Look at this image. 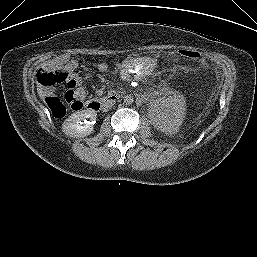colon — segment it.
Segmentation results:
<instances>
[{"label":"colon","instance_id":"5ec220e1","mask_svg":"<svg viewBox=\"0 0 257 257\" xmlns=\"http://www.w3.org/2000/svg\"><path fill=\"white\" fill-rule=\"evenodd\" d=\"M180 55L191 61H198L201 54L197 50L182 49L179 51ZM64 74L59 69H40L37 73L38 83L44 88H50L53 85L64 81ZM85 93L83 89L76 85L70 87L65 94V102L75 110L81 109L84 103ZM44 101L56 118H62L66 114L65 104L51 92L44 95Z\"/></svg>","mask_w":257,"mask_h":257}]
</instances>
